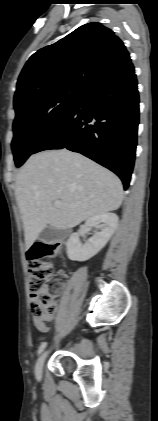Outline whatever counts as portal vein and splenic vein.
<instances>
[{
  "mask_svg": "<svg viewBox=\"0 0 158 421\" xmlns=\"http://www.w3.org/2000/svg\"><path fill=\"white\" fill-rule=\"evenodd\" d=\"M54 206H55L56 208H61V207H62V203H61L60 201H55V202H54Z\"/></svg>",
  "mask_w": 158,
  "mask_h": 421,
  "instance_id": "1",
  "label": "portal vein and splenic vein"
}]
</instances>
